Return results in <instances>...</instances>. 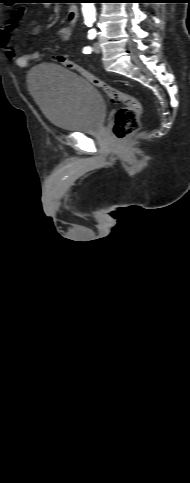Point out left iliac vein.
I'll return each instance as SVG.
<instances>
[{
  "mask_svg": "<svg viewBox=\"0 0 190 483\" xmlns=\"http://www.w3.org/2000/svg\"><path fill=\"white\" fill-rule=\"evenodd\" d=\"M93 51L95 53H101V47H100V44L98 42H95L94 45H93Z\"/></svg>",
  "mask_w": 190,
  "mask_h": 483,
  "instance_id": "1",
  "label": "left iliac vein"
}]
</instances>
